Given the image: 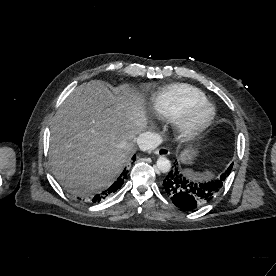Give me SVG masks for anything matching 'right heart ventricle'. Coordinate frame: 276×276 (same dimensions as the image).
Here are the masks:
<instances>
[{
	"label": "right heart ventricle",
	"instance_id": "1",
	"mask_svg": "<svg viewBox=\"0 0 276 276\" xmlns=\"http://www.w3.org/2000/svg\"><path fill=\"white\" fill-rule=\"evenodd\" d=\"M204 100L206 97L199 89L187 84H174L160 90L152 105L157 116L176 122L191 104Z\"/></svg>",
	"mask_w": 276,
	"mask_h": 276
}]
</instances>
